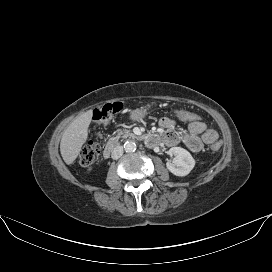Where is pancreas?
Instances as JSON below:
<instances>
[{
    "instance_id": "pancreas-1",
    "label": "pancreas",
    "mask_w": 272,
    "mask_h": 272,
    "mask_svg": "<svg viewBox=\"0 0 272 272\" xmlns=\"http://www.w3.org/2000/svg\"><path fill=\"white\" fill-rule=\"evenodd\" d=\"M116 133L117 135L115 136V139L134 137V134L128 130H117Z\"/></svg>"
}]
</instances>
